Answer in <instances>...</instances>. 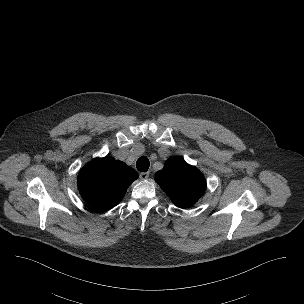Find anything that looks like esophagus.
Segmentation results:
<instances>
[{
	"label": "esophagus",
	"mask_w": 304,
	"mask_h": 304,
	"mask_svg": "<svg viewBox=\"0 0 304 304\" xmlns=\"http://www.w3.org/2000/svg\"><path fill=\"white\" fill-rule=\"evenodd\" d=\"M139 176H140V179L146 180L149 177V172H141Z\"/></svg>",
	"instance_id": "esophagus-1"
}]
</instances>
